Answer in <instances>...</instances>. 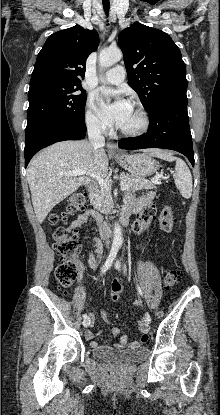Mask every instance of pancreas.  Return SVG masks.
<instances>
[{"mask_svg": "<svg viewBox=\"0 0 220 415\" xmlns=\"http://www.w3.org/2000/svg\"><path fill=\"white\" fill-rule=\"evenodd\" d=\"M120 180L121 183L128 184L129 190L138 191L143 189L151 190L155 188V182L130 174L122 173L120 175ZM90 201L94 208L101 211L102 213H108L113 206L111 193L101 187H95L93 190H91Z\"/></svg>", "mask_w": 220, "mask_h": 415, "instance_id": "1", "label": "pancreas"}]
</instances>
